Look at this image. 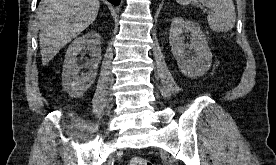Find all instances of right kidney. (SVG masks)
Wrapping results in <instances>:
<instances>
[{"mask_svg":"<svg viewBox=\"0 0 276 165\" xmlns=\"http://www.w3.org/2000/svg\"><path fill=\"white\" fill-rule=\"evenodd\" d=\"M100 38L96 31H90L76 38L67 49L62 71V85L71 97L80 98L83 96L96 78L101 60ZM84 49L90 51L91 58L85 65L79 66L77 55ZM82 68L88 69V72L79 77V71Z\"/></svg>","mask_w":276,"mask_h":165,"instance_id":"obj_1","label":"right kidney"}]
</instances>
